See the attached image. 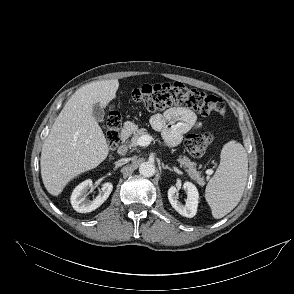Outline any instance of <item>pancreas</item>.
<instances>
[{"label": "pancreas", "mask_w": 294, "mask_h": 294, "mask_svg": "<svg viewBox=\"0 0 294 294\" xmlns=\"http://www.w3.org/2000/svg\"><path fill=\"white\" fill-rule=\"evenodd\" d=\"M143 135H148L147 129L140 128L133 132V136L131 138L130 145L135 147L137 146V140L139 137ZM178 162L181 166H183L184 170L187 172L189 177L196 181V183L200 186L205 184L203 177H201V172L197 171L196 164L191 162V160L186 156H180Z\"/></svg>", "instance_id": "cf45deb5"}]
</instances>
